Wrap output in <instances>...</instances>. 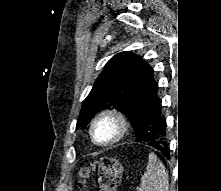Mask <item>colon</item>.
Listing matches in <instances>:
<instances>
[{"label":"colon","instance_id":"colon-1","mask_svg":"<svg viewBox=\"0 0 221 191\" xmlns=\"http://www.w3.org/2000/svg\"><path fill=\"white\" fill-rule=\"evenodd\" d=\"M94 169L98 171L96 191H117L122 177V165L117 158L101 157L81 170V178L86 179Z\"/></svg>","mask_w":221,"mask_h":191}]
</instances>
